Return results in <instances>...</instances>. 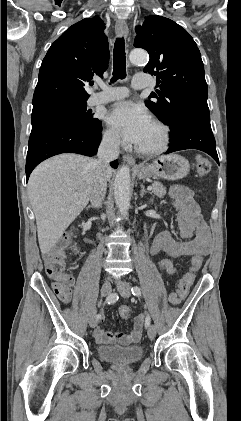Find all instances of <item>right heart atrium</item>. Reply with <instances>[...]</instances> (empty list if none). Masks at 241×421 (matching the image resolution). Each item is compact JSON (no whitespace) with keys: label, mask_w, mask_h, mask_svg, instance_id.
<instances>
[{"label":"right heart atrium","mask_w":241,"mask_h":421,"mask_svg":"<svg viewBox=\"0 0 241 421\" xmlns=\"http://www.w3.org/2000/svg\"><path fill=\"white\" fill-rule=\"evenodd\" d=\"M103 140L110 148H118L121 144L118 134L112 129H106L103 134Z\"/></svg>","instance_id":"1"}]
</instances>
